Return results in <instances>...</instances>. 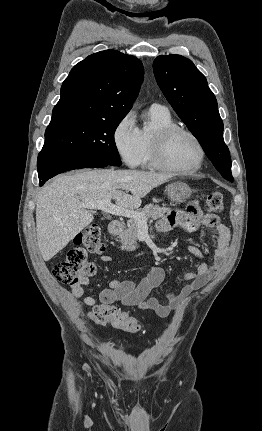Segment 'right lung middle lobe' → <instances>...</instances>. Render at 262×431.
Masks as SVG:
<instances>
[{
  "mask_svg": "<svg viewBox=\"0 0 262 431\" xmlns=\"http://www.w3.org/2000/svg\"><path fill=\"white\" fill-rule=\"evenodd\" d=\"M122 119H81L49 125L42 151L78 154L119 166L114 132Z\"/></svg>",
  "mask_w": 262,
  "mask_h": 431,
  "instance_id": "obj_1",
  "label": "right lung middle lobe"
}]
</instances>
